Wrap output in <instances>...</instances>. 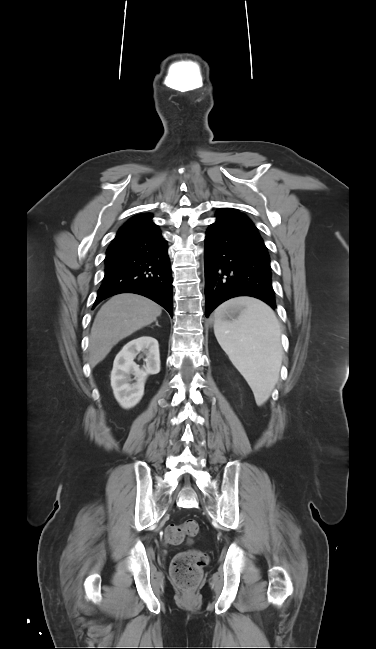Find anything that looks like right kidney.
Instances as JSON below:
<instances>
[{
	"label": "right kidney",
	"instance_id": "right-kidney-1",
	"mask_svg": "<svg viewBox=\"0 0 376 649\" xmlns=\"http://www.w3.org/2000/svg\"><path fill=\"white\" fill-rule=\"evenodd\" d=\"M140 352L146 356L143 369L134 362ZM159 371V345L155 338L144 335L126 344L117 354L111 372V387L118 403L125 409L134 407L144 394L148 375ZM132 375L136 382H132Z\"/></svg>",
	"mask_w": 376,
	"mask_h": 649
}]
</instances>
